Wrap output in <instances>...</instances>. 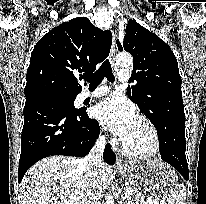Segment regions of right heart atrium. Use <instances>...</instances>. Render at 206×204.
Masks as SVG:
<instances>
[{
  "mask_svg": "<svg viewBox=\"0 0 206 204\" xmlns=\"http://www.w3.org/2000/svg\"><path fill=\"white\" fill-rule=\"evenodd\" d=\"M100 137H101L102 139H104V138H105V133L102 132L101 135H100Z\"/></svg>",
  "mask_w": 206,
  "mask_h": 204,
  "instance_id": "1",
  "label": "right heart atrium"
}]
</instances>
